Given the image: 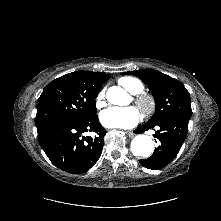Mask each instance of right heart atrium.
<instances>
[{"label":"right heart atrium","mask_w":221,"mask_h":221,"mask_svg":"<svg viewBox=\"0 0 221 221\" xmlns=\"http://www.w3.org/2000/svg\"><path fill=\"white\" fill-rule=\"evenodd\" d=\"M105 90L102 89L96 96L95 106L97 109H101L105 106Z\"/></svg>","instance_id":"obj_1"}]
</instances>
